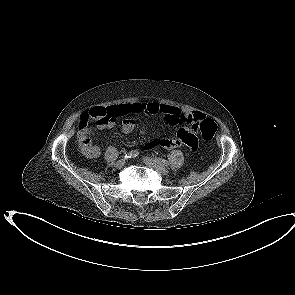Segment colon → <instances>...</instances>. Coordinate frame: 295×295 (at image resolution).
I'll return each mask as SVG.
<instances>
[{"instance_id": "colon-1", "label": "colon", "mask_w": 295, "mask_h": 295, "mask_svg": "<svg viewBox=\"0 0 295 295\" xmlns=\"http://www.w3.org/2000/svg\"><path fill=\"white\" fill-rule=\"evenodd\" d=\"M108 110L104 107H96L84 112L80 117V130L78 132V141L81 147L88 145L89 136L91 134V125L98 124L108 119ZM195 128L201 133L202 138L210 142L215 136L217 125L214 120L210 118L202 119L195 123Z\"/></svg>"}]
</instances>
